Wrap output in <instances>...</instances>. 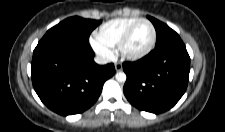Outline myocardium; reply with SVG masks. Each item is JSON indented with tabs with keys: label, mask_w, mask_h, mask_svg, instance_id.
Returning a JSON list of instances; mask_svg holds the SVG:
<instances>
[{
	"label": "myocardium",
	"mask_w": 225,
	"mask_h": 132,
	"mask_svg": "<svg viewBox=\"0 0 225 132\" xmlns=\"http://www.w3.org/2000/svg\"><path fill=\"white\" fill-rule=\"evenodd\" d=\"M140 23H147L150 25L151 29H152V37L151 40L149 42V44L146 46L145 49H143L140 52L137 53H130L126 50V45L128 40L130 39L134 29L136 28L137 25H139ZM156 42V29L155 26L153 25V23L145 18H141L136 20L133 24H131L126 31L123 33L122 37L119 40V43L117 45L118 51L120 53V55L127 59V60H131V61H136L139 59H142L143 57H145L146 55H148L151 50L153 49L154 45Z\"/></svg>",
	"instance_id": "f54148a6"
}]
</instances>
